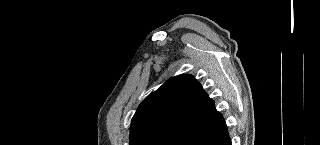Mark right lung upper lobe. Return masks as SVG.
Wrapping results in <instances>:
<instances>
[{
  "mask_svg": "<svg viewBox=\"0 0 320 145\" xmlns=\"http://www.w3.org/2000/svg\"><path fill=\"white\" fill-rule=\"evenodd\" d=\"M218 113L214 101L193 76L172 77L138 107L131 123L130 145L159 133L177 134Z\"/></svg>",
  "mask_w": 320,
  "mask_h": 145,
  "instance_id": "1",
  "label": "right lung upper lobe"
}]
</instances>
